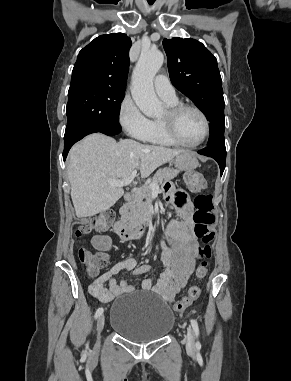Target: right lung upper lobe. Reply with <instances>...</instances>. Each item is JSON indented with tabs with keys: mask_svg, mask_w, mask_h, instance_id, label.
Listing matches in <instances>:
<instances>
[{
	"mask_svg": "<svg viewBox=\"0 0 291 381\" xmlns=\"http://www.w3.org/2000/svg\"><path fill=\"white\" fill-rule=\"evenodd\" d=\"M131 44V39L123 33L95 38L79 52L71 85L126 88Z\"/></svg>",
	"mask_w": 291,
	"mask_h": 381,
	"instance_id": "obj_1",
	"label": "right lung upper lobe"
}]
</instances>
